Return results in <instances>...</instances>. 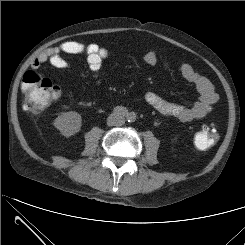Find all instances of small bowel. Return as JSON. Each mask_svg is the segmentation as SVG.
Listing matches in <instances>:
<instances>
[{"mask_svg":"<svg viewBox=\"0 0 245 245\" xmlns=\"http://www.w3.org/2000/svg\"><path fill=\"white\" fill-rule=\"evenodd\" d=\"M62 54L84 55L92 73L93 82L95 84L101 82L99 71L103 60L108 57L109 53L105 47L93 43L65 41L59 46L47 48L35 58L32 68L36 69L48 62L55 68L70 70L72 66ZM144 60L148 65L154 66L158 63L159 57L156 52L148 51L144 56ZM180 73L186 81L193 84L196 88L198 98L195 102L189 106H182L168 102L154 93H148L146 100L158 113L177 118L182 122H189L210 112L218 100V95L212 83L206 77L199 74L190 64H182Z\"/></svg>","mask_w":245,"mask_h":245,"instance_id":"c3829d8e","label":"small bowel"}]
</instances>
